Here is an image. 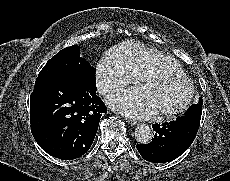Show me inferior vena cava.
Listing matches in <instances>:
<instances>
[{
	"label": "inferior vena cava",
	"mask_w": 230,
	"mask_h": 181,
	"mask_svg": "<svg viewBox=\"0 0 230 181\" xmlns=\"http://www.w3.org/2000/svg\"><path fill=\"white\" fill-rule=\"evenodd\" d=\"M107 86L106 85H104V84H99V86H98V92L99 93H101V94H104V93H106L107 92Z\"/></svg>",
	"instance_id": "1"
}]
</instances>
